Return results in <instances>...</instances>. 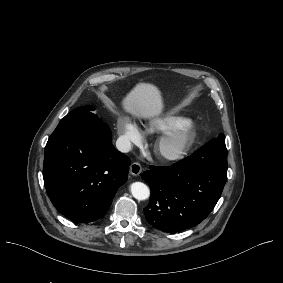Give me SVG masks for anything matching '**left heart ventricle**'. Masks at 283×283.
<instances>
[{
  "label": "left heart ventricle",
  "instance_id": "1",
  "mask_svg": "<svg viewBox=\"0 0 283 283\" xmlns=\"http://www.w3.org/2000/svg\"><path fill=\"white\" fill-rule=\"evenodd\" d=\"M158 150L160 153V157L163 158L166 155L172 154L176 150L175 145H158Z\"/></svg>",
  "mask_w": 283,
  "mask_h": 283
}]
</instances>
